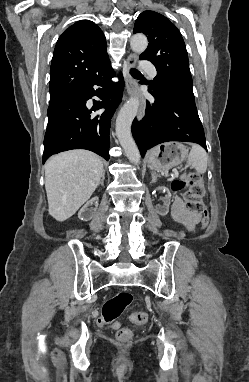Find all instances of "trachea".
Segmentation results:
<instances>
[{"instance_id": "3493384b", "label": "trachea", "mask_w": 249, "mask_h": 382, "mask_svg": "<svg viewBox=\"0 0 249 382\" xmlns=\"http://www.w3.org/2000/svg\"><path fill=\"white\" fill-rule=\"evenodd\" d=\"M130 73L132 76L136 75V74H140V71L136 70V69H131L130 70Z\"/></svg>"}]
</instances>
